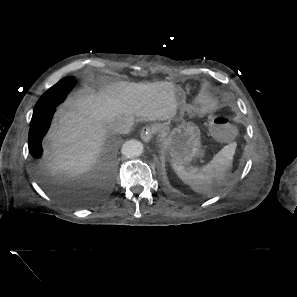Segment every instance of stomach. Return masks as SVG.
Segmentation results:
<instances>
[{
    "mask_svg": "<svg viewBox=\"0 0 297 297\" xmlns=\"http://www.w3.org/2000/svg\"><path fill=\"white\" fill-rule=\"evenodd\" d=\"M178 97H183L177 88ZM161 144L170 157L172 164L188 165L193 159L203 155L201 133L198 126L183 121L171 131L161 130Z\"/></svg>",
    "mask_w": 297,
    "mask_h": 297,
    "instance_id": "1",
    "label": "stomach"
}]
</instances>
